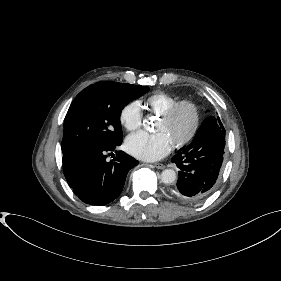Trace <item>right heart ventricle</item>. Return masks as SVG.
Returning <instances> with one entry per match:
<instances>
[{"label": "right heart ventricle", "instance_id": "1", "mask_svg": "<svg viewBox=\"0 0 281 281\" xmlns=\"http://www.w3.org/2000/svg\"><path fill=\"white\" fill-rule=\"evenodd\" d=\"M179 99L163 91H157L140 100L139 105L150 113L159 115L178 102Z\"/></svg>", "mask_w": 281, "mask_h": 281}]
</instances>
